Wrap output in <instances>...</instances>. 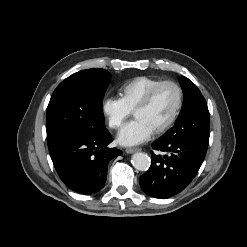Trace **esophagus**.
<instances>
[{"instance_id":"esophagus-1","label":"esophagus","mask_w":247,"mask_h":247,"mask_svg":"<svg viewBox=\"0 0 247 247\" xmlns=\"http://www.w3.org/2000/svg\"><path fill=\"white\" fill-rule=\"evenodd\" d=\"M140 150H141L140 148H127L126 153L132 154V153H134L136 151H140Z\"/></svg>"}]
</instances>
